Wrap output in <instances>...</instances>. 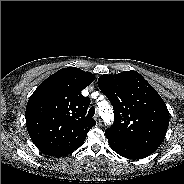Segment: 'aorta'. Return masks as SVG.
<instances>
[{"mask_svg":"<svg viewBox=\"0 0 184 184\" xmlns=\"http://www.w3.org/2000/svg\"><path fill=\"white\" fill-rule=\"evenodd\" d=\"M99 106V113L103 118V121L107 124H110L113 120V112L110 108V105L107 101H103L98 104Z\"/></svg>","mask_w":184,"mask_h":184,"instance_id":"762f6f07","label":"aorta"}]
</instances>
